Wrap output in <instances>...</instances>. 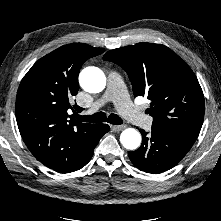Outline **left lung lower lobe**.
I'll return each instance as SVG.
<instances>
[{
	"label": "left lung lower lobe",
	"mask_w": 221,
	"mask_h": 221,
	"mask_svg": "<svg viewBox=\"0 0 221 221\" xmlns=\"http://www.w3.org/2000/svg\"><path fill=\"white\" fill-rule=\"evenodd\" d=\"M140 131L142 145L128 155L139 170L151 174H159L173 168L193 144L180 136L156 128H152L150 133Z\"/></svg>",
	"instance_id": "obj_1"
}]
</instances>
